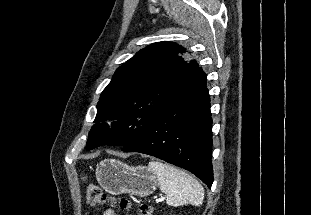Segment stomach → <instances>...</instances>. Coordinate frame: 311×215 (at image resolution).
<instances>
[{
	"label": "stomach",
	"instance_id": "obj_1",
	"mask_svg": "<svg viewBox=\"0 0 311 215\" xmlns=\"http://www.w3.org/2000/svg\"><path fill=\"white\" fill-rule=\"evenodd\" d=\"M96 178L102 188L112 195L129 193L138 197L152 194L157 187L153 171L145 166H128L115 159L101 161Z\"/></svg>",
	"mask_w": 311,
	"mask_h": 215
}]
</instances>
